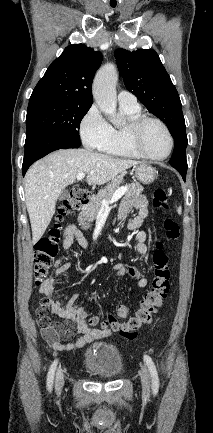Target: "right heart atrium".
Wrapping results in <instances>:
<instances>
[{
  "instance_id": "obj_1",
  "label": "right heart atrium",
  "mask_w": 213,
  "mask_h": 433,
  "mask_svg": "<svg viewBox=\"0 0 213 433\" xmlns=\"http://www.w3.org/2000/svg\"><path fill=\"white\" fill-rule=\"evenodd\" d=\"M110 124L99 108L92 105L80 121L79 133L84 145L90 149H100L106 141Z\"/></svg>"
}]
</instances>
